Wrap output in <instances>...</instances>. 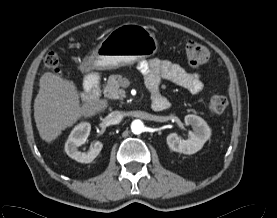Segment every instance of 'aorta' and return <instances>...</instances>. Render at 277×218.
Here are the masks:
<instances>
[{
  "label": "aorta",
  "instance_id": "1",
  "mask_svg": "<svg viewBox=\"0 0 277 218\" xmlns=\"http://www.w3.org/2000/svg\"><path fill=\"white\" fill-rule=\"evenodd\" d=\"M131 130L134 134H140L144 131V124L141 120H134L131 123Z\"/></svg>",
  "mask_w": 277,
  "mask_h": 218
}]
</instances>
